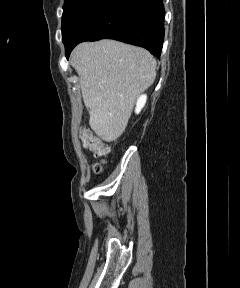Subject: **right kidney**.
Here are the masks:
<instances>
[{"label":"right kidney","mask_w":240,"mask_h":288,"mask_svg":"<svg viewBox=\"0 0 240 288\" xmlns=\"http://www.w3.org/2000/svg\"><path fill=\"white\" fill-rule=\"evenodd\" d=\"M147 101V96L146 95H141L138 100H137V104H136V108H135V112L137 114L140 113V111L142 110V108L145 106Z\"/></svg>","instance_id":"right-kidney-1"}]
</instances>
